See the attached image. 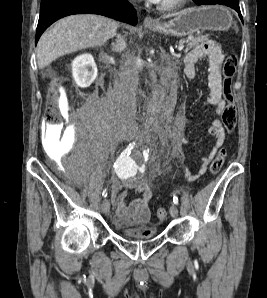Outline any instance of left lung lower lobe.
<instances>
[{
  "label": "left lung lower lobe",
  "mask_w": 267,
  "mask_h": 298,
  "mask_svg": "<svg viewBox=\"0 0 267 298\" xmlns=\"http://www.w3.org/2000/svg\"><path fill=\"white\" fill-rule=\"evenodd\" d=\"M195 3L197 5H208V4L226 5L228 7H231L235 11H237L240 19L242 20V15L239 7V0H201L200 2H195Z\"/></svg>",
  "instance_id": "1"
}]
</instances>
